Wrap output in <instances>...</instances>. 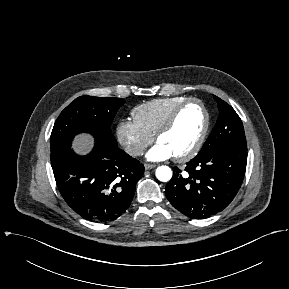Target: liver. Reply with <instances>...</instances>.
<instances>
[{"mask_svg":"<svg viewBox=\"0 0 289 289\" xmlns=\"http://www.w3.org/2000/svg\"><path fill=\"white\" fill-rule=\"evenodd\" d=\"M93 145V138L87 134H81L76 137L73 143V149L78 154H85Z\"/></svg>","mask_w":289,"mask_h":289,"instance_id":"obj_1","label":"liver"}]
</instances>
